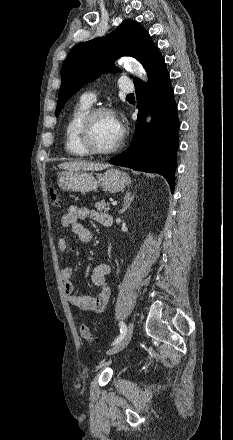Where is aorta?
Here are the masks:
<instances>
[{"label": "aorta", "mask_w": 233, "mask_h": 440, "mask_svg": "<svg viewBox=\"0 0 233 440\" xmlns=\"http://www.w3.org/2000/svg\"><path fill=\"white\" fill-rule=\"evenodd\" d=\"M124 67L131 72L136 77L140 78L143 81H147V76L142 66L132 58H126L123 60ZM150 121V117L147 119Z\"/></svg>", "instance_id": "762f6f07"}]
</instances>
